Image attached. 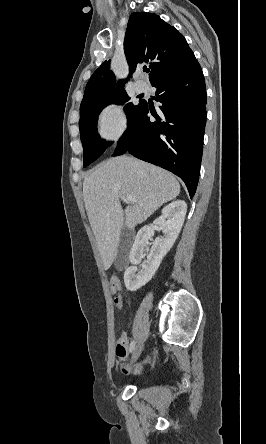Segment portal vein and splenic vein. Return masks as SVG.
<instances>
[{
	"mask_svg": "<svg viewBox=\"0 0 266 444\" xmlns=\"http://www.w3.org/2000/svg\"><path fill=\"white\" fill-rule=\"evenodd\" d=\"M124 199H125V201H127L129 203L136 202V200L130 195H127Z\"/></svg>",
	"mask_w": 266,
	"mask_h": 444,
	"instance_id": "1",
	"label": "portal vein and splenic vein"
}]
</instances>
